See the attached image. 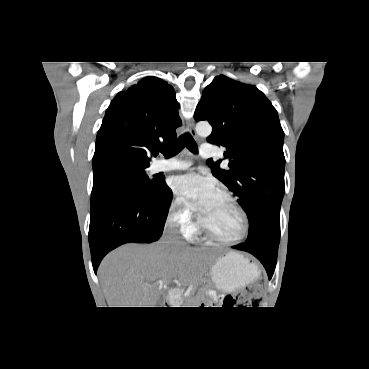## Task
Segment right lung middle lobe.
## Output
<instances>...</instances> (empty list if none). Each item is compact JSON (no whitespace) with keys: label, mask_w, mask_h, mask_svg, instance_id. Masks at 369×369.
I'll return each mask as SVG.
<instances>
[{"label":"right lung middle lobe","mask_w":369,"mask_h":369,"mask_svg":"<svg viewBox=\"0 0 369 369\" xmlns=\"http://www.w3.org/2000/svg\"><path fill=\"white\" fill-rule=\"evenodd\" d=\"M148 167L149 165L128 161L93 165L91 202L115 187H129L145 195L157 193L164 184L161 179H149L146 174Z\"/></svg>","instance_id":"right-lung-middle-lobe-1"}]
</instances>
